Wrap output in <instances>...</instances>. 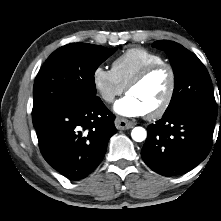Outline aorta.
Segmentation results:
<instances>
[{
  "label": "aorta",
  "instance_id": "762f6f07",
  "mask_svg": "<svg viewBox=\"0 0 221 221\" xmlns=\"http://www.w3.org/2000/svg\"><path fill=\"white\" fill-rule=\"evenodd\" d=\"M131 137L136 142H142L147 137V132L143 127H135L131 132Z\"/></svg>",
  "mask_w": 221,
  "mask_h": 221
}]
</instances>
